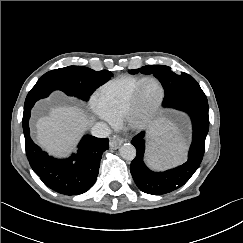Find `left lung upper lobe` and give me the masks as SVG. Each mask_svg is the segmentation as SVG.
<instances>
[{
    "label": "left lung upper lobe",
    "mask_w": 243,
    "mask_h": 243,
    "mask_svg": "<svg viewBox=\"0 0 243 243\" xmlns=\"http://www.w3.org/2000/svg\"><path fill=\"white\" fill-rule=\"evenodd\" d=\"M138 71L144 74H153L161 82L165 91L163 104L186 92L201 89L197 81L189 74H176L168 66L147 65L140 69L130 70L129 72L134 74Z\"/></svg>",
    "instance_id": "left-lung-upper-lobe-1"
}]
</instances>
